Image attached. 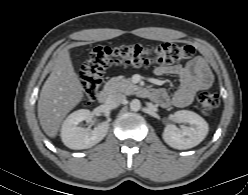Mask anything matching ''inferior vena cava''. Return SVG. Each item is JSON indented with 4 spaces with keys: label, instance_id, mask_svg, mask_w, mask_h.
<instances>
[{
    "label": "inferior vena cava",
    "instance_id": "obj_1",
    "mask_svg": "<svg viewBox=\"0 0 248 195\" xmlns=\"http://www.w3.org/2000/svg\"><path fill=\"white\" fill-rule=\"evenodd\" d=\"M126 100V97L124 94L121 93H115L110 95L107 100L106 104L110 108H116L119 105H121Z\"/></svg>",
    "mask_w": 248,
    "mask_h": 195
}]
</instances>
